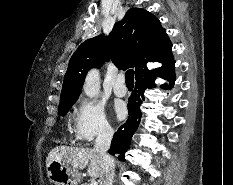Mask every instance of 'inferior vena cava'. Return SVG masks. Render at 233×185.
I'll use <instances>...</instances> for the list:
<instances>
[{"mask_svg":"<svg viewBox=\"0 0 233 185\" xmlns=\"http://www.w3.org/2000/svg\"><path fill=\"white\" fill-rule=\"evenodd\" d=\"M114 130L109 126H103L96 138L94 150L100 154L103 161V169L100 175V185H112L114 178V160L108 154Z\"/></svg>","mask_w":233,"mask_h":185,"instance_id":"602c4592","label":"inferior vena cava"}]
</instances>
